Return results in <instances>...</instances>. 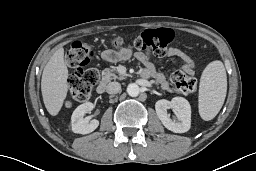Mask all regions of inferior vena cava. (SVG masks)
I'll return each instance as SVG.
<instances>
[{
  "label": "inferior vena cava",
  "instance_id": "obj_1",
  "mask_svg": "<svg viewBox=\"0 0 256 171\" xmlns=\"http://www.w3.org/2000/svg\"><path fill=\"white\" fill-rule=\"evenodd\" d=\"M121 91V84L119 82H110L106 87L108 94H116Z\"/></svg>",
  "mask_w": 256,
  "mask_h": 171
}]
</instances>
